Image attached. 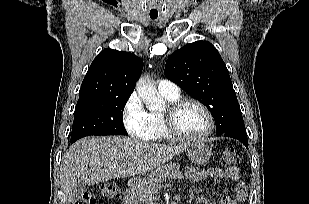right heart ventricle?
<instances>
[{
    "instance_id": "obj_1",
    "label": "right heart ventricle",
    "mask_w": 309,
    "mask_h": 204,
    "mask_svg": "<svg viewBox=\"0 0 309 204\" xmlns=\"http://www.w3.org/2000/svg\"><path fill=\"white\" fill-rule=\"evenodd\" d=\"M162 95V94H161ZM162 97L168 102H174L179 99L178 96H168L162 95ZM148 122L151 127V134L148 139L150 140H168L170 139L169 134L167 133L164 123L163 116L160 112H149L147 113Z\"/></svg>"
}]
</instances>
